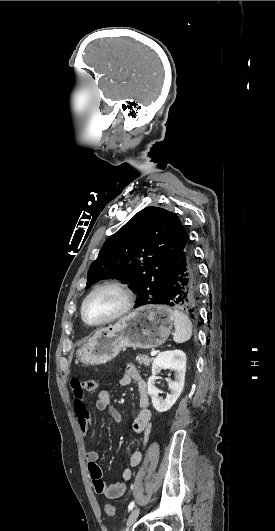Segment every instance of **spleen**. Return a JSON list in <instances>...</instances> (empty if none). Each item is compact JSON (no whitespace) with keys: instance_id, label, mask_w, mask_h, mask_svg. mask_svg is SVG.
<instances>
[{"instance_id":"obj_1","label":"spleen","mask_w":275,"mask_h":531,"mask_svg":"<svg viewBox=\"0 0 275 531\" xmlns=\"http://www.w3.org/2000/svg\"><path fill=\"white\" fill-rule=\"evenodd\" d=\"M171 315L174 317L175 331L173 333V341L175 343H185L192 337V323L185 313L182 311H171Z\"/></svg>"}]
</instances>
